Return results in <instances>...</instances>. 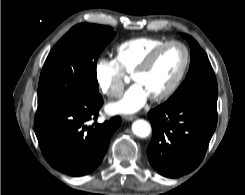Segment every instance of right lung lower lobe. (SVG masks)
<instances>
[{"label":"right lung lower lobe","mask_w":245,"mask_h":195,"mask_svg":"<svg viewBox=\"0 0 245 195\" xmlns=\"http://www.w3.org/2000/svg\"><path fill=\"white\" fill-rule=\"evenodd\" d=\"M102 105L103 99L98 95L37 110L35 134L43 156L53 168L71 176H83L102 162L111 136L121 123L120 117H113L87 126L89 120L97 119Z\"/></svg>","instance_id":"right-lung-lower-lobe-1"}]
</instances>
